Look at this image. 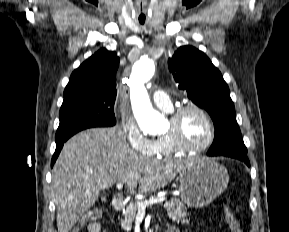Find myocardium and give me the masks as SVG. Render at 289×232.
Wrapping results in <instances>:
<instances>
[{
	"instance_id": "obj_1",
	"label": "myocardium",
	"mask_w": 289,
	"mask_h": 232,
	"mask_svg": "<svg viewBox=\"0 0 289 232\" xmlns=\"http://www.w3.org/2000/svg\"><path fill=\"white\" fill-rule=\"evenodd\" d=\"M187 111L198 112L207 123L208 131H209L208 137H207L206 141L199 146H189V145L185 144L180 137L179 130H178V124H179L181 117ZM169 121L172 124V129L169 133L165 134L164 136L168 140L170 145L176 151H178L180 153H190V154L200 153V152L206 150L208 147H210V145L214 141V138H215L214 123H213L210 115L208 114V112L199 105L185 104V105L177 107L176 109H174L171 112Z\"/></svg>"
}]
</instances>
